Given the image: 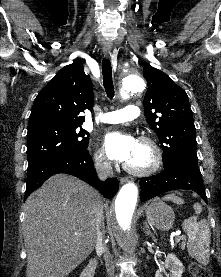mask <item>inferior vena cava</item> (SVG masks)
<instances>
[{
    "mask_svg": "<svg viewBox=\"0 0 221 277\" xmlns=\"http://www.w3.org/2000/svg\"><path fill=\"white\" fill-rule=\"evenodd\" d=\"M96 171L99 179L105 180L106 178L113 177V170L110 162H98L96 164ZM96 249H101L104 252V261L106 265L107 274L109 277L114 276V265L112 261V256L110 255L107 247L104 243V211L101 205L96 213Z\"/></svg>",
    "mask_w": 221,
    "mask_h": 277,
    "instance_id": "obj_1",
    "label": "inferior vena cava"
}]
</instances>
